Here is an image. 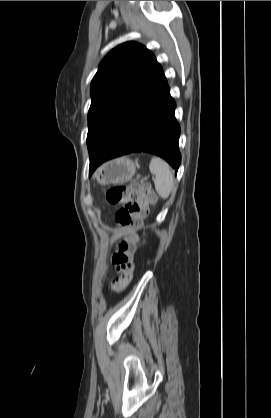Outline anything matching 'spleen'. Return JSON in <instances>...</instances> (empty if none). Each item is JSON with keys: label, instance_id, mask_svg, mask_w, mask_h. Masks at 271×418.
I'll use <instances>...</instances> for the list:
<instances>
[{"label": "spleen", "instance_id": "1", "mask_svg": "<svg viewBox=\"0 0 271 418\" xmlns=\"http://www.w3.org/2000/svg\"><path fill=\"white\" fill-rule=\"evenodd\" d=\"M150 172L155 176L154 184L157 193L167 199L174 188V176L170 166L161 158L154 157L149 164Z\"/></svg>", "mask_w": 271, "mask_h": 418}]
</instances>
